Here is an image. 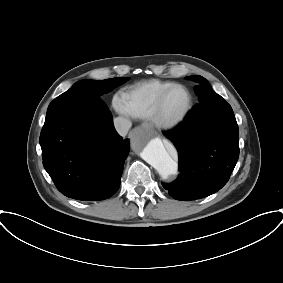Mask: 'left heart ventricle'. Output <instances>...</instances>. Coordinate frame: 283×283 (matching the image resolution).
I'll return each instance as SVG.
<instances>
[{"instance_id": "obj_1", "label": "left heart ventricle", "mask_w": 283, "mask_h": 283, "mask_svg": "<svg viewBox=\"0 0 283 283\" xmlns=\"http://www.w3.org/2000/svg\"><path fill=\"white\" fill-rule=\"evenodd\" d=\"M188 103V95L183 89H175L165 98L162 113L166 118L179 116Z\"/></svg>"}]
</instances>
